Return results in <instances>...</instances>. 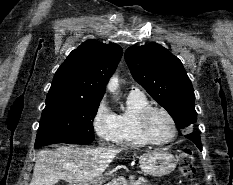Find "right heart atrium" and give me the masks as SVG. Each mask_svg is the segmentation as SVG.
I'll return each instance as SVG.
<instances>
[{"label": "right heart atrium", "instance_id": "obj_1", "mask_svg": "<svg viewBox=\"0 0 233 185\" xmlns=\"http://www.w3.org/2000/svg\"><path fill=\"white\" fill-rule=\"evenodd\" d=\"M91 124L95 135L101 142H115L117 136V118L105 99H101L97 104Z\"/></svg>", "mask_w": 233, "mask_h": 185}]
</instances>
